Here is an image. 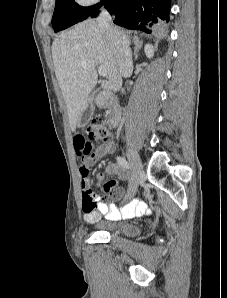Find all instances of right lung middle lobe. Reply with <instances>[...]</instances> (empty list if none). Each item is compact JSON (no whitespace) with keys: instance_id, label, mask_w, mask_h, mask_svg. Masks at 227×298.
<instances>
[{"instance_id":"1","label":"right lung middle lobe","mask_w":227,"mask_h":298,"mask_svg":"<svg viewBox=\"0 0 227 298\" xmlns=\"http://www.w3.org/2000/svg\"><path fill=\"white\" fill-rule=\"evenodd\" d=\"M106 0L90 7H81L74 0H56L52 18V26L55 32L66 29L79 21L89 17L91 13L100 8Z\"/></svg>"}]
</instances>
